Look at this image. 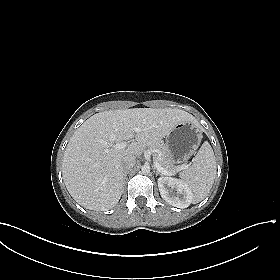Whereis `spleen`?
Instances as JSON below:
<instances>
[{
	"instance_id": "obj_1",
	"label": "spleen",
	"mask_w": 280,
	"mask_h": 280,
	"mask_svg": "<svg viewBox=\"0 0 280 280\" xmlns=\"http://www.w3.org/2000/svg\"><path fill=\"white\" fill-rule=\"evenodd\" d=\"M216 160L212 147L205 141L193 159V164L181 173L182 181L193 192V202L203 200L211 190L216 177Z\"/></svg>"
}]
</instances>
